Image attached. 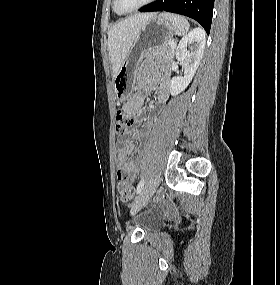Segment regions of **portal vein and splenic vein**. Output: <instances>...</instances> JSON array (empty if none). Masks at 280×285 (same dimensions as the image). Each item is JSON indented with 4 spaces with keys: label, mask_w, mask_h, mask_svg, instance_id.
<instances>
[{
    "label": "portal vein and splenic vein",
    "mask_w": 280,
    "mask_h": 285,
    "mask_svg": "<svg viewBox=\"0 0 280 285\" xmlns=\"http://www.w3.org/2000/svg\"><path fill=\"white\" fill-rule=\"evenodd\" d=\"M170 45H171L172 48H176V43L175 42H172Z\"/></svg>",
    "instance_id": "obj_1"
}]
</instances>
